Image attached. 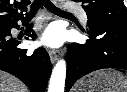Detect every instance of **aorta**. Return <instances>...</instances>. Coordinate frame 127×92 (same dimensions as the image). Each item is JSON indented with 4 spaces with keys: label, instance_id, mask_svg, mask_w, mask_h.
Wrapping results in <instances>:
<instances>
[{
    "label": "aorta",
    "instance_id": "762f6f07",
    "mask_svg": "<svg viewBox=\"0 0 127 92\" xmlns=\"http://www.w3.org/2000/svg\"><path fill=\"white\" fill-rule=\"evenodd\" d=\"M66 78V62L60 60L55 65L51 77L48 92H64Z\"/></svg>",
    "mask_w": 127,
    "mask_h": 92
}]
</instances>
